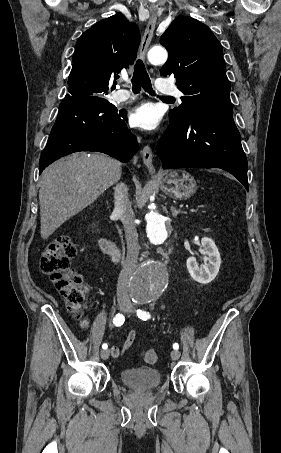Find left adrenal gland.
Returning a JSON list of instances; mask_svg holds the SVG:
<instances>
[{
	"label": "left adrenal gland",
	"mask_w": 281,
	"mask_h": 453,
	"mask_svg": "<svg viewBox=\"0 0 281 453\" xmlns=\"http://www.w3.org/2000/svg\"><path fill=\"white\" fill-rule=\"evenodd\" d=\"M171 212H172V216H177V214H179V212H181V210H177V208H175V206H171Z\"/></svg>",
	"instance_id": "1"
}]
</instances>
